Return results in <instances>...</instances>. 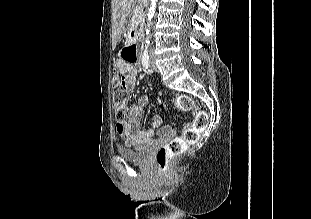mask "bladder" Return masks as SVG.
Returning a JSON list of instances; mask_svg holds the SVG:
<instances>
[{"mask_svg":"<svg viewBox=\"0 0 311 219\" xmlns=\"http://www.w3.org/2000/svg\"><path fill=\"white\" fill-rule=\"evenodd\" d=\"M149 150L150 147L148 144L135 148L125 146H118L116 148V151L121 158L133 162H143L148 156Z\"/></svg>","mask_w":311,"mask_h":219,"instance_id":"1","label":"bladder"}]
</instances>
